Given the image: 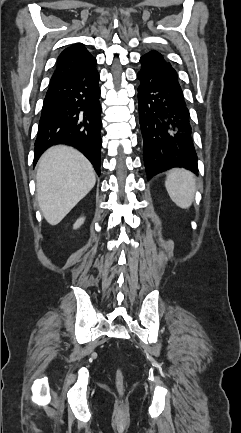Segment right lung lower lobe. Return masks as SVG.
Returning a JSON list of instances; mask_svg holds the SVG:
<instances>
[{"label":"right lung lower lobe","instance_id":"obj_1","mask_svg":"<svg viewBox=\"0 0 241 433\" xmlns=\"http://www.w3.org/2000/svg\"><path fill=\"white\" fill-rule=\"evenodd\" d=\"M96 64L49 84L37 139L36 164L40 155L56 144L80 150L100 174L101 105Z\"/></svg>","mask_w":241,"mask_h":433}]
</instances>
